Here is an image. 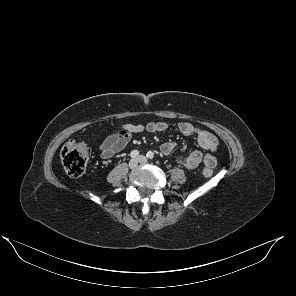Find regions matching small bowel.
Returning a JSON list of instances; mask_svg holds the SVG:
<instances>
[{
    "mask_svg": "<svg viewBox=\"0 0 296 296\" xmlns=\"http://www.w3.org/2000/svg\"><path fill=\"white\" fill-rule=\"evenodd\" d=\"M167 127L165 122H149L146 125L123 124L118 131L108 135L100 144V156L103 159H111L130 143L134 134L144 131L149 133L163 132ZM178 128L186 136L194 135L197 143L205 153L194 150L186 156L178 157L176 162L187 169H195L202 161L205 166L215 167L216 158L214 153L217 151L219 145L217 137L210 131L198 128L186 121L180 122ZM175 149V142H165L161 146V152L164 155H170Z\"/></svg>",
    "mask_w": 296,
    "mask_h": 296,
    "instance_id": "1",
    "label": "small bowel"
}]
</instances>
